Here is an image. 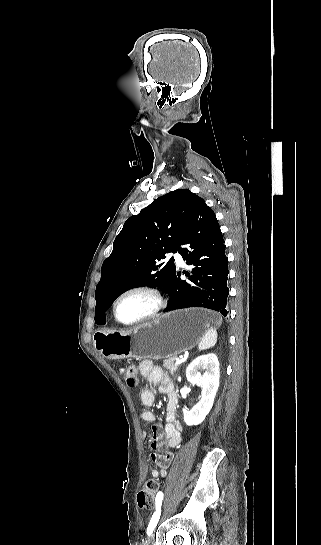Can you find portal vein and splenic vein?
Listing matches in <instances>:
<instances>
[{
	"label": "portal vein and splenic vein",
	"instance_id": "1",
	"mask_svg": "<svg viewBox=\"0 0 321 545\" xmlns=\"http://www.w3.org/2000/svg\"><path fill=\"white\" fill-rule=\"evenodd\" d=\"M180 359H183V355H179V358H176V361H180Z\"/></svg>",
	"mask_w": 321,
	"mask_h": 545
}]
</instances>
